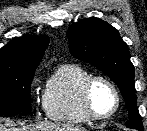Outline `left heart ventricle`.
I'll list each match as a JSON object with an SVG mask.
<instances>
[{"instance_id":"left-heart-ventricle-1","label":"left heart ventricle","mask_w":147,"mask_h":131,"mask_svg":"<svg viewBox=\"0 0 147 131\" xmlns=\"http://www.w3.org/2000/svg\"><path fill=\"white\" fill-rule=\"evenodd\" d=\"M91 103L97 114L105 115L115 106V96L108 84L97 81L91 90Z\"/></svg>"}]
</instances>
